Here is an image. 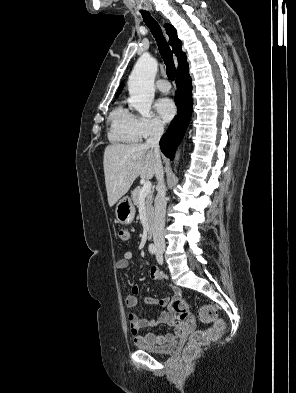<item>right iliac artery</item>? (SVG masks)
<instances>
[{
  "label": "right iliac artery",
  "mask_w": 296,
  "mask_h": 393,
  "mask_svg": "<svg viewBox=\"0 0 296 393\" xmlns=\"http://www.w3.org/2000/svg\"><path fill=\"white\" fill-rule=\"evenodd\" d=\"M148 249H149V252H150L151 254H154V253L156 252V247H155L154 244H150L149 247H148Z\"/></svg>",
  "instance_id": "1"
}]
</instances>
